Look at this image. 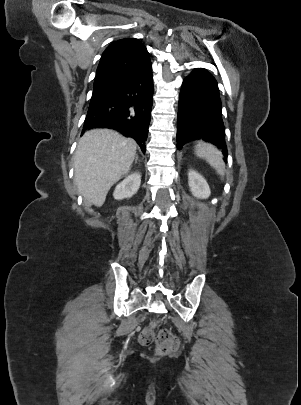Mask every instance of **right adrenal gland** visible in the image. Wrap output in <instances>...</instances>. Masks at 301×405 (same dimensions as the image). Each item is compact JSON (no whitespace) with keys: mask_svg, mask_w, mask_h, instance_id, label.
Returning a JSON list of instances; mask_svg holds the SVG:
<instances>
[{"mask_svg":"<svg viewBox=\"0 0 301 405\" xmlns=\"http://www.w3.org/2000/svg\"><path fill=\"white\" fill-rule=\"evenodd\" d=\"M137 161H138V156L136 155V158H135V163H137Z\"/></svg>","mask_w":301,"mask_h":405,"instance_id":"2a0ac1e0","label":"right adrenal gland"}]
</instances>
